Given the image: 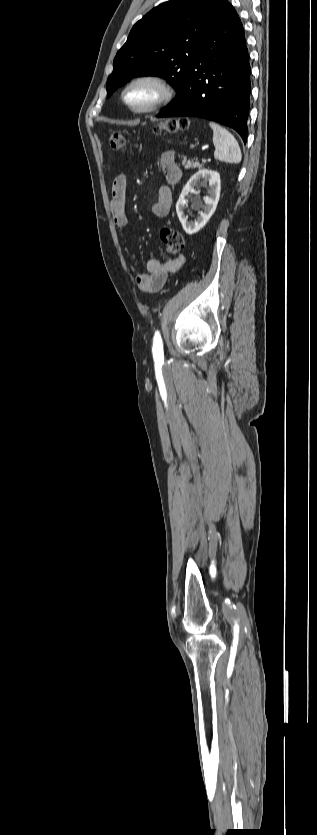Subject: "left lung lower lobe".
Masks as SVG:
<instances>
[{
  "label": "left lung lower lobe",
  "mask_w": 317,
  "mask_h": 835,
  "mask_svg": "<svg viewBox=\"0 0 317 835\" xmlns=\"http://www.w3.org/2000/svg\"><path fill=\"white\" fill-rule=\"evenodd\" d=\"M250 89L245 34L230 5L200 49L180 95L157 117L209 119L234 129L246 143Z\"/></svg>",
  "instance_id": "obj_1"
}]
</instances>
